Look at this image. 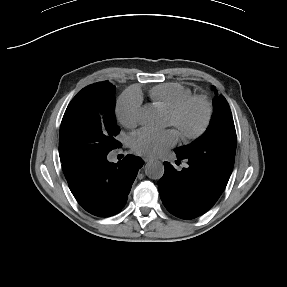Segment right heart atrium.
Returning <instances> with one entry per match:
<instances>
[{
    "label": "right heart atrium",
    "instance_id": "1",
    "mask_svg": "<svg viewBox=\"0 0 287 287\" xmlns=\"http://www.w3.org/2000/svg\"><path fill=\"white\" fill-rule=\"evenodd\" d=\"M141 96L134 91L122 94L116 104V115L123 126L135 128L141 121Z\"/></svg>",
    "mask_w": 287,
    "mask_h": 287
}]
</instances>
